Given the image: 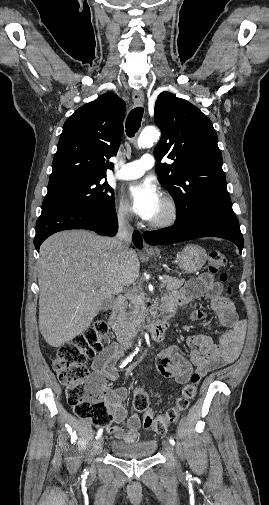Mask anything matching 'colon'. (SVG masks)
Returning <instances> with one entry per match:
<instances>
[{"label": "colon", "instance_id": "5ec220e1", "mask_svg": "<svg viewBox=\"0 0 269 505\" xmlns=\"http://www.w3.org/2000/svg\"><path fill=\"white\" fill-rule=\"evenodd\" d=\"M225 264L223 253L217 250L210 252L209 271L218 274L221 282L227 279L225 273H220ZM229 294L230 289H227L224 296ZM108 331V325L104 321L95 323L72 341L63 344L52 364L60 383L66 387V399L75 414L80 418L90 419L96 426L104 427L110 425L111 415L102 399L103 383L97 374L89 372L86 362L103 350ZM200 379L201 375L194 373L190 382L182 389L176 405L158 416L149 410L147 393L137 390L134 393L133 406L137 412L143 413L144 428L157 434L166 432L195 398Z\"/></svg>", "mask_w": 269, "mask_h": 505}]
</instances>
